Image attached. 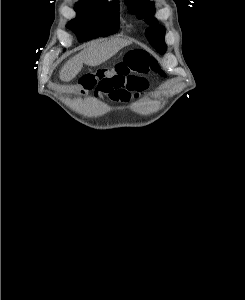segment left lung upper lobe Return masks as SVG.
<instances>
[{
	"label": "left lung upper lobe",
	"instance_id": "obj_1",
	"mask_svg": "<svg viewBox=\"0 0 245 300\" xmlns=\"http://www.w3.org/2000/svg\"><path fill=\"white\" fill-rule=\"evenodd\" d=\"M128 9L138 14L140 18H144L150 25H156L157 20L153 17L155 13V3L149 0H127ZM146 37L150 44L161 54L166 51L164 42L165 29L163 26L149 27L145 31Z\"/></svg>",
	"mask_w": 245,
	"mask_h": 300
}]
</instances>
